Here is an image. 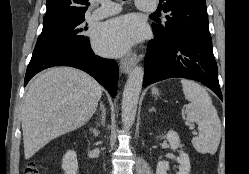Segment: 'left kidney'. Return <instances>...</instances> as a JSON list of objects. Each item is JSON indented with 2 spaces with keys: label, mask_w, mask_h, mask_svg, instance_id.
<instances>
[{
  "label": "left kidney",
  "mask_w": 249,
  "mask_h": 174,
  "mask_svg": "<svg viewBox=\"0 0 249 174\" xmlns=\"http://www.w3.org/2000/svg\"><path fill=\"white\" fill-rule=\"evenodd\" d=\"M161 138H166L173 150L181 147L179 135L175 131H169ZM177 162L179 163V172L177 174H189L191 168L189 156L181 152L177 157ZM168 169L169 163L167 161H159L157 163L156 174H167Z\"/></svg>",
  "instance_id": "left-kidney-1"
}]
</instances>
